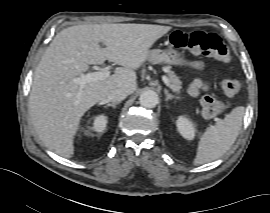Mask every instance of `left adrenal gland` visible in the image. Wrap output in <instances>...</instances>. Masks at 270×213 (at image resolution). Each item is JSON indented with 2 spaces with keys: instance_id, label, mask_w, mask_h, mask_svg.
I'll return each instance as SVG.
<instances>
[{
  "instance_id": "obj_1",
  "label": "left adrenal gland",
  "mask_w": 270,
  "mask_h": 213,
  "mask_svg": "<svg viewBox=\"0 0 270 213\" xmlns=\"http://www.w3.org/2000/svg\"><path fill=\"white\" fill-rule=\"evenodd\" d=\"M164 92H165V96H166V99H165L166 101L176 97L175 95L170 94L167 89H165Z\"/></svg>"
}]
</instances>
